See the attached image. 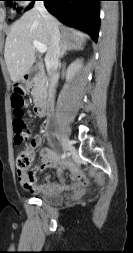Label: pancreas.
Returning <instances> with one entry per match:
<instances>
[{
    "label": "pancreas",
    "mask_w": 133,
    "mask_h": 253,
    "mask_svg": "<svg viewBox=\"0 0 133 253\" xmlns=\"http://www.w3.org/2000/svg\"><path fill=\"white\" fill-rule=\"evenodd\" d=\"M33 82L34 84L31 94L33 96L34 102H36L42 93H44L46 90V77L43 73H38L35 75Z\"/></svg>",
    "instance_id": "obj_1"
}]
</instances>
